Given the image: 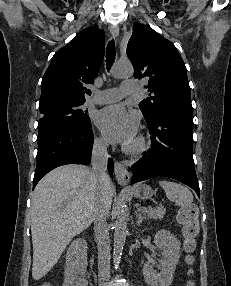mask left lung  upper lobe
Segmentation results:
<instances>
[{
    "label": "left lung upper lobe",
    "mask_w": 231,
    "mask_h": 286,
    "mask_svg": "<svg viewBox=\"0 0 231 286\" xmlns=\"http://www.w3.org/2000/svg\"><path fill=\"white\" fill-rule=\"evenodd\" d=\"M135 78H146L152 95L140 102L146 121L161 109L192 112L190 86L185 64L172 42L150 26L136 24L127 45Z\"/></svg>",
    "instance_id": "obj_1"
}]
</instances>
